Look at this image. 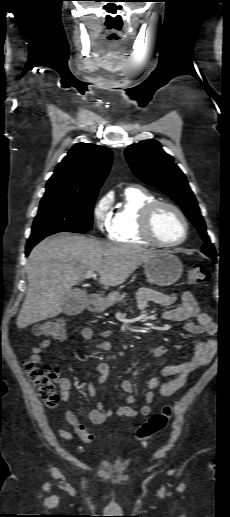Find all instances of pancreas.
Returning <instances> with one entry per match:
<instances>
[{
  "label": "pancreas",
  "instance_id": "cf45deb5",
  "mask_svg": "<svg viewBox=\"0 0 230 517\" xmlns=\"http://www.w3.org/2000/svg\"><path fill=\"white\" fill-rule=\"evenodd\" d=\"M125 296H126V293H123L117 300L121 301V300H123L125 298Z\"/></svg>",
  "mask_w": 230,
  "mask_h": 517
}]
</instances>
